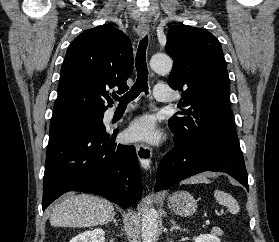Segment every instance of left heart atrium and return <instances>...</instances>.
<instances>
[{
    "label": "left heart atrium",
    "instance_id": "1",
    "mask_svg": "<svg viewBox=\"0 0 279 242\" xmlns=\"http://www.w3.org/2000/svg\"><path fill=\"white\" fill-rule=\"evenodd\" d=\"M127 137L130 141H144L155 143L160 139V133L156 127L154 120L143 115L135 119L128 128Z\"/></svg>",
    "mask_w": 279,
    "mask_h": 242
}]
</instances>
